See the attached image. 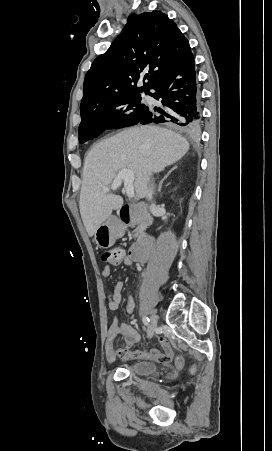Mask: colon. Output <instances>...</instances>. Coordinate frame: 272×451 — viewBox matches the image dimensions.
<instances>
[{
  "mask_svg": "<svg viewBox=\"0 0 272 451\" xmlns=\"http://www.w3.org/2000/svg\"><path fill=\"white\" fill-rule=\"evenodd\" d=\"M102 254L104 260L112 259L111 266L113 268H118L120 266V260L124 257V252L120 248L114 249L111 252H104ZM161 360L163 363H167L170 367H173L176 364V361L173 358L169 359L167 355H163Z\"/></svg>",
  "mask_w": 272,
  "mask_h": 451,
  "instance_id": "obj_1",
  "label": "colon"
}]
</instances>
